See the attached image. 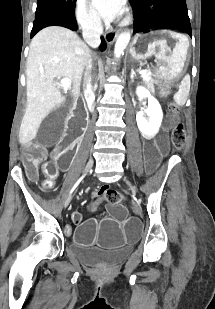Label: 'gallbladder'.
<instances>
[{
	"instance_id": "bac80fb5",
	"label": "gallbladder",
	"mask_w": 215,
	"mask_h": 309,
	"mask_svg": "<svg viewBox=\"0 0 215 309\" xmlns=\"http://www.w3.org/2000/svg\"><path fill=\"white\" fill-rule=\"evenodd\" d=\"M73 104L74 98L72 96H66L64 104L55 112V114L59 115H49L43 121V127L37 133V140H39L42 148H53V144L58 143V136L62 135L65 116H67Z\"/></svg>"
}]
</instances>
